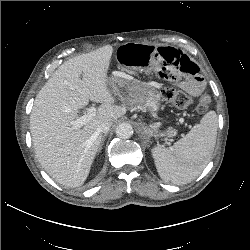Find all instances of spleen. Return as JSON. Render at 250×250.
Listing matches in <instances>:
<instances>
[{
  "label": "spleen",
  "instance_id": "3e777b00",
  "mask_svg": "<svg viewBox=\"0 0 250 250\" xmlns=\"http://www.w3.org/2000/svg\"><path fill=\"white\" fill-rule=\"evenodd\" d=\"M217 126L215 111H209L172 147H154L152 156L159 176L175 185L187 184L198 177L214 151Z\"/></svg>",
  "mask_w": 250,
  "mask_h": 250
}]
</instances>
